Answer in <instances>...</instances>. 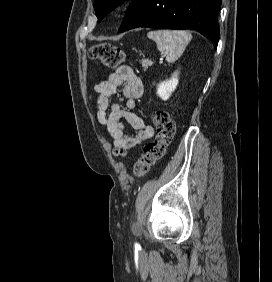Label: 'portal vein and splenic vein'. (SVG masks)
Listing matches in <instances>:
<instances>
[{"label":"portal vein and splenic vein","mask_w":272,"mask_h":282,"mask_svg":"<svg viewBox=\"0 0 272 282\" xmlns=\"http://www.w3.org/2000/svg\"><path fill=\"white\" fill-rule=\"evenodd\" d=\"M159 61H160V62H162V61H163V56L159 59Z\"/></svg>","instance_id":"obj_1"}]
</instances>
